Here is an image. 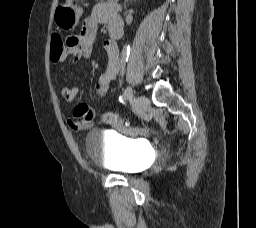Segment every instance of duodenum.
<instances>
[{"instance_id":"obj_1","label":"duodenum","mask_w":256,"mask_h":228,"mask_svg":"<svg viewBox=\"0 0 256 228\" xmlns=\"http://www.w3.org/2000/svg\"><path fill=\"white\" fill-rule=\"evenodd\" d=\"M110 35L113 39H119L121 38V36L123 35V24L119 23V24H114L111 28H110Z\"/></svg>"}]
</instances>
